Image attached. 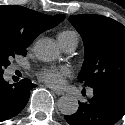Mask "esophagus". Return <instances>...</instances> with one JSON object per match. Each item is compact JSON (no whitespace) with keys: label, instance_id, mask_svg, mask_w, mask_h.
Instances as JSON below:
<instances>
[{"label":"esophagus","instance_id":"obj_1","mask_svg":"<svg viewBox=\"0 0 125 125\" xmlns=\"http://www.w3.org/2000/svg\"><path fill=\"white\" fill-rule=\"evenodd\" d=\"M52 91H53L55 94L59 95V96L64 94V92H63L62 90H59V89H52Z\"/></svg>","mask_w":125,"mask_h":125}]
</instances>
